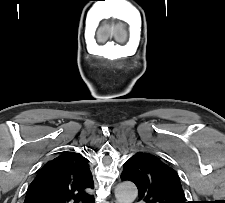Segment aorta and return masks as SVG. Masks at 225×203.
Wrapping results in <instances>:
<instances>
[{
    "instance_id": "obj_1",
    "label": "aorta",
    "mask_w": 225,
    "mask_h": 203,
    "mask_svg": "<svg viewBox=\"0 0 225 203\" xmlns=\"http://www.w3.org/2000/svg\"><path fill=\"white\" fill-rule=\"evenodd\" d=\"M138 194L137 187L132 182H123L117 185L115 197L118 203H133Z\"/></svg>"
}]
</instances>
